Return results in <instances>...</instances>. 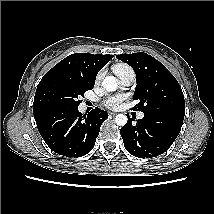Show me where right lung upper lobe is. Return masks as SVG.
<instances>
[{
	"label": "right lung upper lobe",
	"mask_w": 214,
	"mask_h": 214,
	"mask_svg": "<svg viewBox=\"0 0 214 214\" xmlns=\"http://www.w3.org/2000/svg\"><path fill=\"white\" fill-rule=\"evenodd\" d=\"M113 58V55H100L88 53H76L64 58L41 79L38 87L48 78L61 76L70 79L80 80L88 84L95 83L96 76L100 69ZM33 103V114L35 120L44 113L35 110Z\"/></svg>",
	"instance_id": "1"
}]
</instances>
